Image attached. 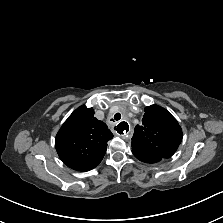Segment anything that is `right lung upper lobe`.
<instances>
[{
  "instance_id": "cb5924a9",
  "label": "right lung upper lobe",
  "mask_w": 223,
  "mask_h": 223,
  "mask_svg": "<svg viewBox=\"0 0 223 223\" xmlns=\"http://www.w3.org/2000/svg\"><path fill=\"white\" fill-rule=\"evenodd\" d=\"M113 134L94 117L92 108H77L57 133L55 146L61 160L77 171H89L103 159Z\"/></svg>"
}]
</instances>
